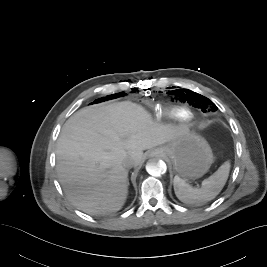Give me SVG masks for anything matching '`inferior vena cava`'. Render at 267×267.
Segmentation results:
<instances>
[{
	"label": "inferior vena cava",
	"mask_w": 267,
	"mask_h": 267,
	"mask_svg": "<svg viewBox=\"0 0 267 267\" xmlns=\"http://www.w3.org/2000/svg\"><path fill=\"white\" fill-rule=\"evenodd\" d=\"M123 164L126 168H131L134 166V162L131 159H125Z\"/></svg>",
	"instance_id": "602c4592"
}]
</instances>
